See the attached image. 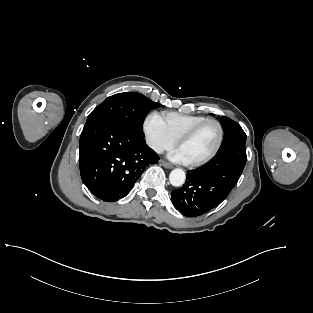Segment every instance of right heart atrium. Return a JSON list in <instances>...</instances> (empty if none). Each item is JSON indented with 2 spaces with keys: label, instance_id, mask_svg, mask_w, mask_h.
Listing matches in <instances>:
<instances>
[{
  "label": "right heart atrium",
  "instance_id": "1",
  "mask_svg": "<svg viewBox=\"0 0 313 313\" xmlns=\"http://www.w3.org/2000/svg\"><path fill=\"white\" fill-rule=\"evenodd\" d=\"M143 130L148 146L156 153H162L175 145L176 141L169 135L157 113H151L147 116Z\"/></svg>",
  "mask_w": 313,
  "mask_h": 313
}]
</instances>
